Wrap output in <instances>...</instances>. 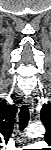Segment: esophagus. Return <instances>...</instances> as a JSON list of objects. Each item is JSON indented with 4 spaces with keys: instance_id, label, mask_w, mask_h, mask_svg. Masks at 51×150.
<instances>
[{
    "instance_id": "34e87169",
    "label": "esophagus",
    "mask_w": 51,
    "mask_h": 150,
    "mask_svg": "<svg viewBox=\"0 0 51 150\" xmlns=\"http://www.w3.org/2000/svg\"><path fill=\"white\" fill-rule=\"evenodd\" d=\"M24 102L30 108V111H33V105H34V103H33L32 97L29 96V95H25L24 96Z\"/></svg>"
}]
</instances>
